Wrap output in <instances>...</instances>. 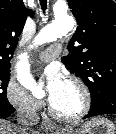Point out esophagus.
Here are the masks:
<instances>
[{
    "mask_svg": "<svg viewBox=\"0 0 116 134\" xmlns=\"http://www.w3.org/2000/svg\"><path fill=\"white\" fill-rule=\"evenodd\" d=\"M42 127L46 130H55V125L51 121H43Z\"/></svg>",
    "mask_w": 116,
    "mask_h": 134,
    "instance_id": "obj_1",
    "label": "esophagus"
}]
</instances>
